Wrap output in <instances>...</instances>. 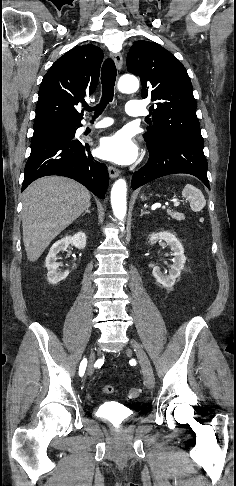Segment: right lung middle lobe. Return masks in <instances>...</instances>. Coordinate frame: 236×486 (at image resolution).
Here are the masks:
<instances>
[{
	"label": "right lung middle lobe",
	"mask_w": 236,
	"mask_h": 486,
	"mask_svg": "<svg viewBox=\"0 0 236 486\" xmlns=\"http://www.w3.org/2000/svg\"><path fill=\"white\" fill-rule=\"evenodd\" d=\"M75 126L72 124L67 123H49V124H42L34 126V133L35 135L41 134H56L60 133L61 131L64 134H74Z\"/></svg>",
	"instance_id": "obj_1"
}]
</instances>
